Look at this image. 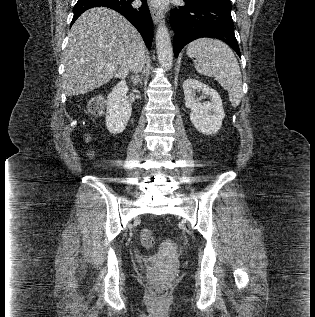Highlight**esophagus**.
I'll return each instance as SVG.
<instances>
[{
	"instance_id": "esophagus-1",
	"label": "esophagus",
	"mask_w": 315,
	"mask_h": 317,
	"mask_svg": "<svg viewBox=\"0 0 315 317\" xmlns=\"http://www.w3.org/2000/svg\"><path fill=\"white\" fill-rule=\"evenodd\" d=\"M150 13L154 23L156 24L163 18L162 12L157 10L153 5H150Z\"/></svg>"
}]
</instances>
